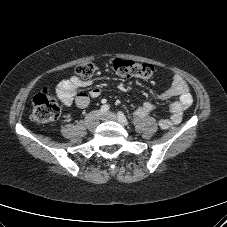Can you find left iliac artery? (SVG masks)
<instances>
[{"instance_id": "44dca946", "label": "left iliac artery", "mask_w": 227, "mask_h": 227, "mask_svg": "<svg viewBox=\"0 0 227 227\" xmlns=\"http://www.w3.org/2000/svg\"><path fill=\"white\" fill-rule=\"evenodd\" d=\"M117 115H118V118H119L125 125L128 124V121H127L125 115H124L122 112H118Z\"/></svg>"}]
</instances>
